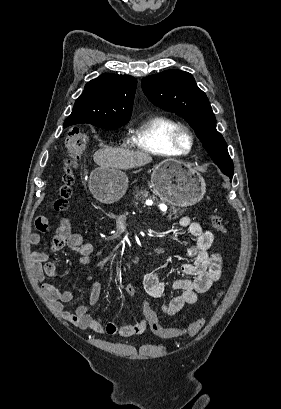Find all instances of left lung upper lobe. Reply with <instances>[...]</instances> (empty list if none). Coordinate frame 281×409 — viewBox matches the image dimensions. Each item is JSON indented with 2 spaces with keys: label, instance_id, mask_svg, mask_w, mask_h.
Returning a JSON list of instances; mask_svg holds the SVG:
<instances>
[{
  "label": "left lung upper lobe",
  "instance_id": "obj_1",
  "mask_svg": "<svg viewBox=\"0 0 281 409\" xmlns=\"http://www.w3.org/2000/svg\"><path fill=\"white\" fill-rule=\"evenodd\" d=\"M142 89L154 105L183 117L214 163L224 174L233 176V162L223 136L216 130V118L209 100L190 73L167 70L144 77Z\"/></svg>",
  "mask_w": 281,
  "mask_h": 409
}]
</instances>
